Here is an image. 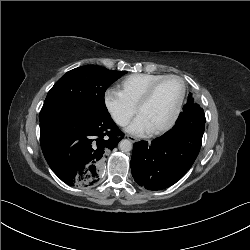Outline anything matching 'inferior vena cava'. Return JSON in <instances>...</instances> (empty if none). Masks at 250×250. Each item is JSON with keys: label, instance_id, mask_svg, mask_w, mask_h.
<instances>
[{"label": "inferior vena cava", "instance_id": "1", "mask_svg": "<svg viewBox=\"0 0 250 250\" xmlns=\"http://www.w3.org/2000/svg\"><path fill=\"white\" fill-rule=\"evenodd\" d=\"M116 123L120 126H125L129 123V119L127 117H117Z\"/></svg>", "mask_w": 250, "mask_h": 250}]
</instances>
